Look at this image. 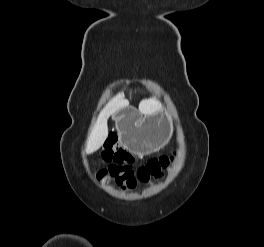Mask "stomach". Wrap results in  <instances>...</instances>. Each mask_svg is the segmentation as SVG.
Returning a JSON list of instances; mask_svg holds the SVG:
<instances>
[{"mask_svg":"<svg viewBox=\"0 0 264 247\" xmlns=\"http://www.w3.org/2000/svg\"><path fill=\"white\" fill-rule=\"evenodd\" d=\"M113 117L123 144L134 153L151 154L160 150L170 139L171 124L165 113L139 118L129 109H122Z\"/></svg>","mask_w":264,"mask_h":247,"instance_id":"1","label":"stomach"}]
</instances>
